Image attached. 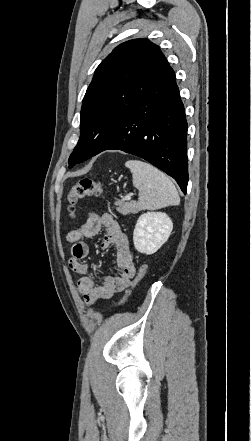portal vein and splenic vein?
Listing matches in <instances>:
<instances>
[{
    "label": "portal vein and splenic vein",
    "instance_id": "portal-vein-and-splenic-vein-1",
    "mask_svg": "<svg viewBox=\"0 0 251 441\" xmlns=\"http://www.w3.org/2000/svg\"><path fill=\"white\" fill-rule=\"evenodd\" d=\"M124 199L125 200H130L131 199V195L130 194L126 195Z\"/></svg>",
    "mask_w": 251,
    "mask_h": 441
}]
</instances>
